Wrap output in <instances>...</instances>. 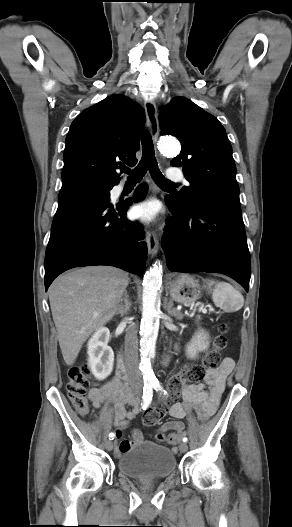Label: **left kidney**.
Masks as SVG:
<instances>
[{"label":"left kidney","mask_w":292,"mask_h":527,"mask_svg":"<svg viewBox=\"0 0 292 527\" xmlns=\"http://www.w3.org/2000/svg\"><path fill=\"white\" fill-rule=\"evenodd\" d=\"M209 347L208 334L204 330H199L192 337L190 343L186 346V354L189 358L194 359L197 353L207 350Z\"/></svg>","instance_id":"1"}]
</instances>
